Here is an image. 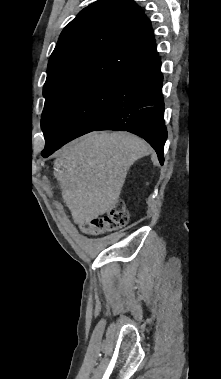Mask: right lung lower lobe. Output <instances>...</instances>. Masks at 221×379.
I'll return each instance as SVG.
<instances>
[{
	"mask_svg": "<svg viewBox=\"0 0 221 379\" xmlns=\"http://www.w3.org/2000/svg\"><path fill=\"white\" fill-rule=\"evenodd\" d=\"M160 68L161 59L158 56L124 74L111 108L94 130L134 133L154 148L159 162L163 164L167 130L164 125L163 76ZM70 140L55 141L42 151V156L48 157Z\"/></svg>",
	"mask_w": 221,
	"mask_h": 379,
	"instance_id": "right-lung-lower-lobe-1",
	"label": "right lung lower lobe"
}]
</instances>
